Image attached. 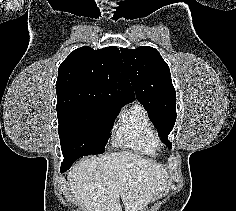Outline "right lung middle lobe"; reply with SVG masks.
I'll return each mask as SVG.
<instances>
[{
    "instance_id": "obj_1",
    "label": "right lung middle lobe",
    "mask_w": 236,
    "mask_h": 211,
    "mask_svg": "<svg viewBox=\"0 0 236 211\" xmlns=\"http://www.w3.org/2000/svg\"><path fill=\"white\" fill-rule=\"evenodd\" d=\"M119 108L68 106L57 108L62 154L104 153Z\"/></svg>"
}]
</instances>
